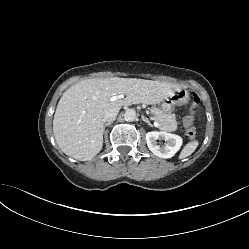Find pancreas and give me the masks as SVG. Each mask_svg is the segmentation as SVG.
<instances>
[{"label":"pancreas","instance_id":"obj_1","mask_svg":"<svg viewBox=\"0 0 249 249\" xmlns=\"http://www.w3.org/2000/svg\"><path fill=\"white\" fill-rule=\"evenodd\" d=\"M150 112L152 114V119L159 124L161 130L175 132L178 129L175 114L165 113L156 107H152Z\"/></svg>","mask_w":249,"mask_h":249}]
</instances>
